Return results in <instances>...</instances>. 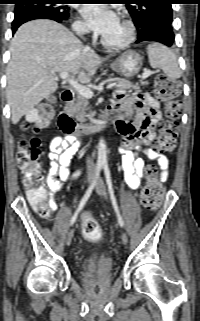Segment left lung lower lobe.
Here are the masks:
<instances>
[{"mask_svg": "<svg viewBox=\"0 0 200 321\" xmlns=\"http://www.w3.org/2000/svg\"><path fill=\"white\" fill-rule=\"evenodd\" d=\"M143 41H156L167 46L174 44V33L172 26L164 22H150L144 24L138 29V40L136 43Z\"/></svg>", "mask_w": 200, "mask_h": 321, "instance_id": "left-lung-lower-lobe-1", "label": "left lung lower lobe"}]
</instances>
